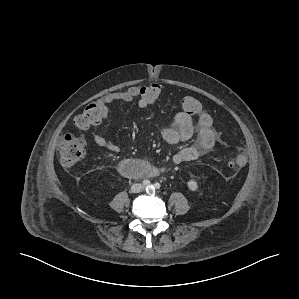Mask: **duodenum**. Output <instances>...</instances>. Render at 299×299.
I'll return each instance as SVG.
<instances>
[{
  "instance_id": "410a0bca",
  "label": "duodenum",
  "mask_w": 299,
  "mask_h": 299,
  "mask_svg": "<svg viewBox=\"0 0 299 299\" xmlns=\"http://www.w3.org/2000/svg\"><path fill=\"white\" fill-rule=\"evenodd\" d=\"M118 169L127 177H137L142 173L143 163L136 159H127L120 162Z\"/></svg>"
}]
</instances>
